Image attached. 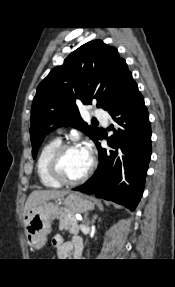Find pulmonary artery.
Listing matches in <instances>:
<instances>
[{"label":"pulmonary artery","mask_w":175,"mask_h":287,"mask_svg":"<svg viewBox=\"0 0 175 287\" xmlns=\"http://www.w3.org/2000/svg\"><path fill=\"white\" fill-rule=\"evenodd\" d=\"M94 114L97 117L103 119L106 123V114H105V111L103 109H95Z\"/></svg>","instance_id":"e3ab8cb5"}]
</instances>
